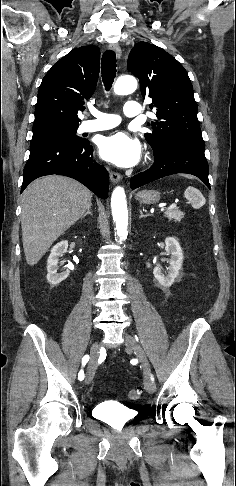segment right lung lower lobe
<instances>
[{
	"label": "right lung lower lobe",
	"instance_id": "1",
	"mask_svg": "<svg viewBox=\"0 0 236 486\" xmlns=\"http://www.w3.org/2000/svg\"><path fill=\"white\" fill-rule=\"evenodd\" d=\"M59 174L74 178L102 199L109 189L108 171L93 159L89 141L67 142L56 138L33 139L23 171L21 192L36 178Z\"/></svg>",
	"mask_w": 236,
	"mask_h": 486
}]
</instances>
